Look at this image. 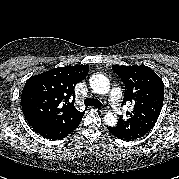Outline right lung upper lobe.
<instances>
[{
  "instance_id": "obj_1",
  "label": "right lung upper lobe",
  "mask_w": 179,
  "mask_h": 179,
  "mask_svg": "<svg viewBox=\"0 0 179 179\" xmlns=\"http://www.w3.org/2000/svg\"><path fill=\"white\" fill-rule=\"evenodd\" d=\"M89 66L54 68L29 78L21 94L23 114L40 135L57 140L72 132L84 112L74 107V87L87 75Z\"/></svg>"
}]
</instances>
